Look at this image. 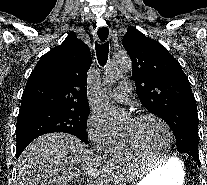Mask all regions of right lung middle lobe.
<instances>
[{"label":"right lung middle lobe","instance_id":"obj_1","mask_svg":"<svg viewBox=\"0 0 207 185\" xmlns=\"http://www.w3.org/2000/svg\"><path fill=\"white\" fill-rule=\"evenodd\" d=\"M89 111L54 108H32L19 111L16 137V155L36 137L51 132H66L87 143V118Z\"/></svg>","mask_w":207,"mask_h":185}]
</instances>
